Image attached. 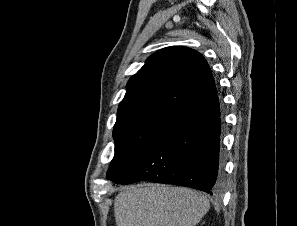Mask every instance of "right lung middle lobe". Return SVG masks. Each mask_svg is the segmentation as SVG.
Returning <instances> with one entry per match:
<instances>
[{
  "mask_svg": "<svg viewBox=\"0 0 297 226\" xmlns=\"http://www.w3.org/2000/svg\"><path fill=\"white\" fill-rule=\"evenodd\" d=\"M170 117L144 115L116 122L113 130L115 155L107 179L116 182L138 160Z\"/></svg>",
  "mask_w": 297,
  "mask_h": 226,
  "instance_id": "right-lung-middle-lobe-1",
  "label": "right lung middle lobe"
}]
</instances>
